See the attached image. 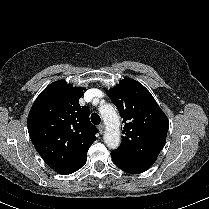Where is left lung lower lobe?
<instances>
[{"label": "left lung lower lobe", "mask_w": 209, "mask_h": 209, "mask_svg": "<svg viewBox=\"0 0 209 209\" xmlns=\"http://www.w3.org/2000/svg\"><path fill=\"white\" fill-rule=\"evenodd\" d=\"M111 157H112L113 162L116 164V166L132 174L142 173L148 170L153 164L147 161L122 157L112 152H111Z\"/></svg>", "instance_id": "left-lung-lower-lobe-1"}]
</instances>
